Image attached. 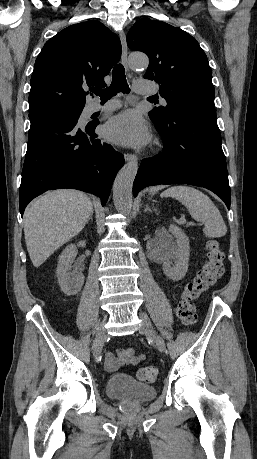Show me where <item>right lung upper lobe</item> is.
Returning <instances> with one entry per match:
<instances>
[{"mask_svg":"<svg viewBox=\"0 0 257 459\" xmlns=\"http://www.w3.org/2000/svg\"><path fill=\"white\" fill-rule=\"evenodd\" d=\"M121 56V43L99 21L71 25L48 40L31 77L30 114L84 107L85 90L104 87V77Z\"/></svg>","mask_w":257,"mask_h":459,"instance_id":"1","label":"right lung upper lobe"}]
</instances>
